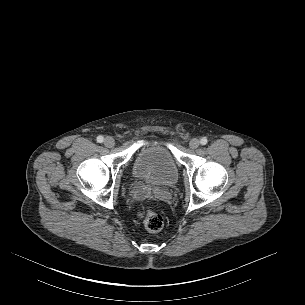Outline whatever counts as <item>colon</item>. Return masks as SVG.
<instances>
[{
    "mask_svg": "<svg viewBox=\"0 0 305 305\" xmlns=\"http://www.w3.org/2000/svg\"><path fill=\"white\" fill-rule=\"evenodd\" d=\"M138 217L150 232H158L163 227V217L150 208H141L138 212Z\"/></svg>",
    "mask_w": 305,
    "mask_h": 305,
    "instance_id": "obj_1",
    "label": "colon"
}]
</instances>
